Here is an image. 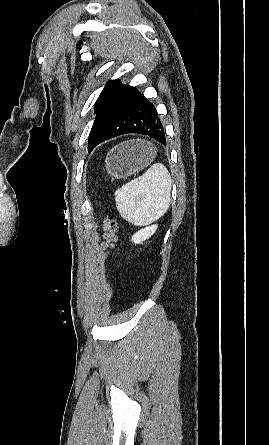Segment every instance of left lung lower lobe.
I'll use <instances>...</instances> for the list:
<instances>
[{
  "mask_svg": "<svg viewBox=\"0 0 269 445\" xmlns=\"http://www.w3.org/2000/svg\"><path fill=\"white\" fill-rule=\"evenodd\" d=\"M127 133L147 135L166 145L164 126L156 108L132 86L125 87L113 113L94 140L91 151L105 140Z\"/></svg>",
  "mask_w": 269,
  "mask_h": 445,
  "instance_id": "left-lung-lower-lobe-1",
  "label": "left lung lower lobe"
}]
</instances>
